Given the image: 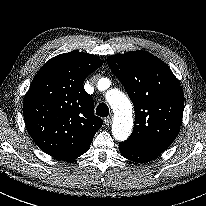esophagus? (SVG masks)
Listing matches in <instances>:
<instances>
[{"label": "esophagus", "instance_id": "obj_1", "mask_svg": "<svg viewBox=\"0 0 206 206\" xmlns=\"http://www.w3.org/2000/svg\"><path fill=\"white\" fill-rule=\"evenodd\" d=\"M112 117L111 116H109V117H106L105 119H104V123L106 124V125H110L111 123H112Z\"/></svg>", "mask_w": 206, "mask_h": 206}]
</instances>
